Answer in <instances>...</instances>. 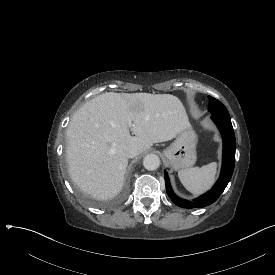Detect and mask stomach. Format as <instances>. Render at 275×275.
Listing matches in <instances>:
<instances>
[{"instance_id":"stomach-1","label":"stomach","mask_w":275,"mask_h":275,"mask_svg":"<svg viewBox=\"0 0 275 275\" xmlns=\"http://www.w3.org/2000/svg\"><path fill=\"white\" fill-rule=\"evenodd\" d=\"M199 136L190 122L175 135L174 143L164 151L173 170L189 169L196 163Z\"/></svg>"}]
</instances>
